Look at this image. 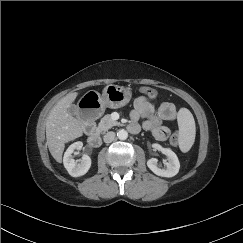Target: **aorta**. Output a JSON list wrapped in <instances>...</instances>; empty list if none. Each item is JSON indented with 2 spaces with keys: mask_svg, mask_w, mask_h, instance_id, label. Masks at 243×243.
Returning <instances> with one entry per match:
<instances>
[{
  "mask_svg": "<svg viewBox=\"0 0 243 243\" xmlns=\"http://www.w3.org/2000/svg\"><path fill=\"white\" fill-rule=\"evenodd\" d=\"M117 137L120 139V140H125L127 139L128 137V132L124 129H120L118 132H117Z\"/></svg>",
  "mask_w": 243,
  "mask_h": 243,
  "instance_id": "obj_1",
  "label": "aorta"
}]
</instances>
